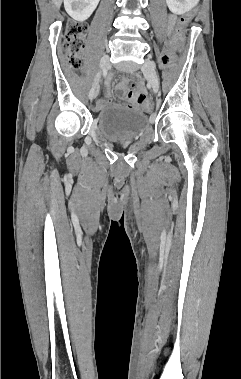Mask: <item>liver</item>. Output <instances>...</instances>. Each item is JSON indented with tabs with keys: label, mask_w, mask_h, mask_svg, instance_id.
Segmentation results:
<instances>
[{
	"label": "liver",
	"mask_w": 241,
	"mask_h": 379,
	"mask_svg": "<svg viewBox=\"0 0 241 379\" xmlns=\"http://www.w3.org/2000/svg\"><path fill=\"white\" fill-rule=\"evenodd\" d=\"M53 2L55 3L56 6H60L62 0H53Z\"/></svg>",
	"instance_id": "1"
}]
</instances>
